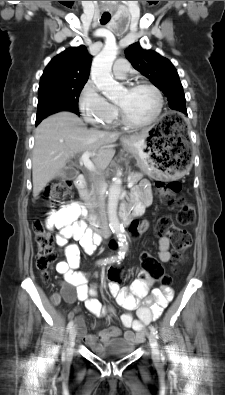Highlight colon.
<instances>
[{"instance_id":"5ec220e1","label":"colon","mask_w":225,"mask_h":395,"mask_svg":"<svg viewBox=\"0 0 225 395\" xmlns=\"http://www.w3.org/2000/svg\"><path fill=\"white\" fill-rule=\"evenodd\" d=\"M72 182L70 179H61L50 183L45 191L44 197L54 209H60L65 197L71 192ZM156 190L159 198L164 204H176L177 212L175 217L164 215L159 218L155 226V233L158 236H168L173 245V262L178 265L184 259V253L191 245V236L182 226H188L195 222L196 212L194 206L179 197L181 183L179 181H158ZM33 230L37 245L36 267L40 271L43 280H48L50 271L55 261L54 253V236L50 230L39 220L33 222ZM129 235H138L139 223H128ZM112 250L116 249L115 245H121V238H110ZM139 256L142 260L145 272L153 275V281H164V288H171L172 283L166 276V269L160 268L159 263L154 259L151 250H140ZM114 271L118 270L117 266L113 267ZM107 272V283H113L118 288L121 274L118 272ZM54 302L59 301V297L53 298Z\"/></svg>"}]
</instances>
